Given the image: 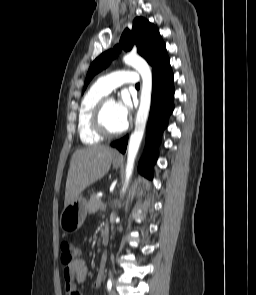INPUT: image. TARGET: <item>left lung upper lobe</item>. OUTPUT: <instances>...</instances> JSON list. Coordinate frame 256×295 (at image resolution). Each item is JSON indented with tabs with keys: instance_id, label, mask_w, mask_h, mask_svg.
<instances>
[{
	"instance_id": "left-lung-upper-lobe-1",
	"label": "left lung upper lobe",
	"mask_w": 256,
	"mask_h": 295,
	"mask_svg": "<svg viewBox=\"0 0 256 295\" xmlns=\"http://www.w3.org/2000/svg\"><path fill=\"white\" fill-rule=\"evenodd\" d=\"M136 45L138 53L152 66V72L169 63L165 44L158 29L148 20L137 17L134 19L132 30L128 28L121 35L119 45L97 57L91 64L84 84L87 87L95 74L106 68L117 57L121 49L129 51Z\"/></svg>"
}]
</instances>
